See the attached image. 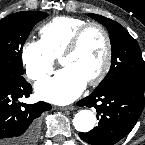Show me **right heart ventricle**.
<instances>
[{
	"label": "right heart ventricle",
	"instance_id": "obj_1",
	"mask_svg": "<svg viewBox=\"0 0 145 145\" xmlns=\"http://www.w3.org/2000/svg\"><path fill=\"white\" fill-rule=\"evenodd\" d=\"M87 20L79 17L57 16L46 22L39 30L41 43L54 58L66 48L74 32Z\"/></svg>",
	"mask_w": 145,
	"mask_h": 145
}]
</instances>
